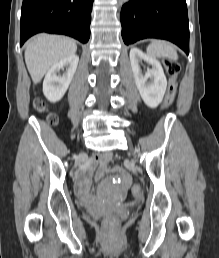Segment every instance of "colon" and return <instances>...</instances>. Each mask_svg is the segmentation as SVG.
<instances>
[{
	"label": "colon",
	"instance_id": "1",
	"mask_svg": "<svg viewBox=\"0 0 219 258\" xmlns=\"http://www.w3.org/2000/svg\"><path fill=\"white\" fill-rule=\"evenodd\" d=\"M164 68L169 76L168 86L165 94V99L163 103V109L169 108L176 97L177 93V76L180 72V65L171 59H167L164 61ZM34 107L39 112L45 111V104L41 99H37L34 102ZM48 121L51 124H55L57 122V117L54 114L48 115ZM132 195L137 198L141 195V187L138 184H135L131 188ZM103 233L106 237H112L116 235L120 228V220L114 214L107 215L103 220Z\"/></svg>",
	"mask_w": 219,
	"mask_h": 258
}]
</instances>
